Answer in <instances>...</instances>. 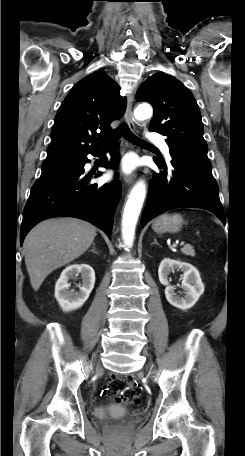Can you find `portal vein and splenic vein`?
Here are the masks:
<instances>
[{"mask_svg":"<svg viewBox=\"0 0 245 456\" xmlns=\"http://www.w3.org/2000/svg\"><path fill=\"white\" fill-rule=\"evenodd\" d=\"M179 245H180V246L184 245V242H180V244H179Z\"/></svg>","mask_w":245,"mask_h":456,"instance_id":"portal-vein-and-splenic-vein-1","label":"portal vein and splenic vein"}]
</instances>
